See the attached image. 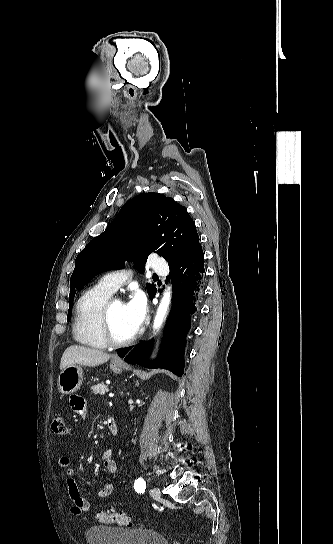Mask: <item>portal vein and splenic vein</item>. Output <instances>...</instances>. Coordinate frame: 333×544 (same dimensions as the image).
<instances>
[{"label": "portal vein and splenic vein", "mask_w": 333, "mask_h": 544, "mask_svg": "<svg viewBox=\"0 0 333 544\" xmlns=\"http://www.w3.org/2000/svg\"><path fill=\"white\" fill-rule=\"evenodd\" d=\"M109 397H110V398L114 397V394H113V393H109Z\"/></svg>", "instance_id": "obj_1"}]
</instances>
